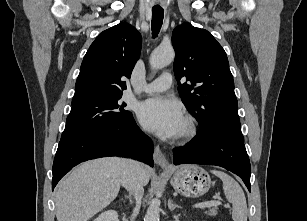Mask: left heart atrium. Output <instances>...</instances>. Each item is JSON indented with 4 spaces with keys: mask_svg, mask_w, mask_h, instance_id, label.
Segmentation results:
<instances>
[{
    "mask_svg": "<svg viewBox=\"0 0 307 221\" xmlns=\"http://www.w3.org/2000/svg\"><path fill=\"white\" fill-rule=\"evenodd\" d=\"M141 124L164 138H173L182 132L184 116L181 106L164 97H154L138 107Z\"/></svg>",
    "mask_w": 307,
    "mask_h": 221,
    "instance_id": "1",
    "label": "left heart atrium"
}]
</instances>
